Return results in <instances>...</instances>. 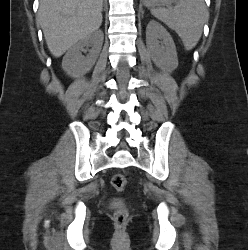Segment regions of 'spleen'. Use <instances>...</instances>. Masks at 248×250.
<instances>
[{
	"mask_svg": "<svg viewBox=\"0 0 248 250\" xmlns=\"http://www.w3.org/2000/svg\"><path fill=\"white\" fill-rule=\"evenodd\" d=\"M150 11L179 35L187 50L197 45L208 19L204 0H179L173 9L152 8Z\"/></svg>",
	"mask_w": 248,
	"mask_h": 250,
	"instance_id": "3e777b00",
	"label": "spleen"
}]
</instances>
